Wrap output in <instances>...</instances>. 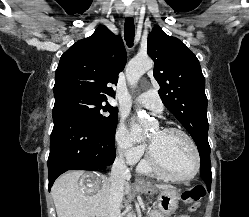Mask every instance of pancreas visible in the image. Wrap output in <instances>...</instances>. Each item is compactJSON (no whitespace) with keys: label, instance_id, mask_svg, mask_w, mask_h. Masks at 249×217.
<instances>
[{"label":"pancreas","instance_id":"obj_1","mask_svg":"<svg viewBox=\"0 0 249 217\" xmlns=\"http://www.w3.org/2000/svg\"><path fill=\"white\" fill-rule=\"evenodd\" d=\"M147 217H165L158 210H152Z\"/></svg>","mask_w":249,"mask_h":217}]
</instances>
